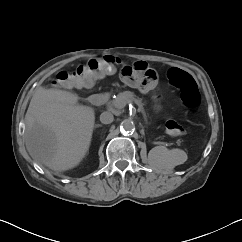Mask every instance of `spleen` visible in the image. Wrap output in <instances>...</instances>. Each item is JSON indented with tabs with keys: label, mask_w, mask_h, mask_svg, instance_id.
I'll list each match as a JSON object with an SVG mask.
<instances>
[{
	"label": "spleen",
	"mask_w": 242,
	"mask_h": 242,
	"mask_svg": "<svg viewBox=\"0 0 242 242\" xmlns=\"http://www.w3.org/2000/svg\"><path fill=\"white\" fill-rule=\"evenodd\" d=\"M176 160V151L166 149L161 152V155L157 159V162L162 168H171V166L175 164Z\"/></svg>",
	"instance_id": "1"
}]
</instances>
